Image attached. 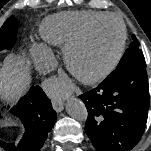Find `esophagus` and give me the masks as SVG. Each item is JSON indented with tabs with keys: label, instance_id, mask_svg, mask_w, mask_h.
Returning a JSON list of instances; mask_svg holds the SVG:
<instances>
[{
	"label": "esophagus",
	"instance_id": "obj_1",
	"mask_svg": "<svg viewBox=\"0 0 151 151\" xmlns=\"http://www.w3.org/2000/svg\"><path fill=\"white\" fill-rule=\"evenodd\" d=\"M53 108L57 111V112H61L64 109V102L61 98L54 96L51 99Z\"/></svg>",
	"mask_w": 151,
	"mask_h": 151
}]
</instances>
